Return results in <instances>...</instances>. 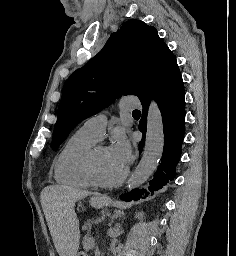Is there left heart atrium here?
<instances>
[{
    "label": "left heart atrium",
    "instance_id": "1",
    "mask_svg": "<svg viewBox=\"0 0 236 256\" xmlns=\"http://www.w3.org/2000/svg\"><path fill=\"white\" fill-rule=\"evenodd\" d=\"M108 153L111 162L119 168H124L131 156V144L125 133L121 129H116L112 135Z\"/></svg>",
    "mask_w": 236,
    "mask_h": 256
}]
</instances>
